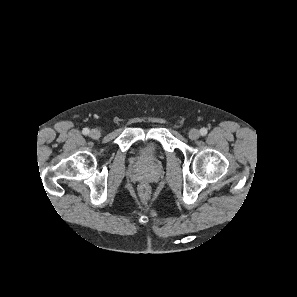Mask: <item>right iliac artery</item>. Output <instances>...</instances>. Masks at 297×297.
Returning a JSON list of instances; mask_svg holds the SVG:
<instances>
[{
  "label": "right iliac artery",
  "instance_id": "1",
  "mask_svg": "<svg viewBox=\"0 0 297 297\" xmlns=\"http://www.w3.org/2000/svg\"><path fill=\"white\" fill-rule=\"evenodd\" d=\"M82 132H83L84 135H88L89 134V129L88 128H84Z\"/></svg>",
  "mask_w": 297,
  "mask_h": 297
}]
</instances>
